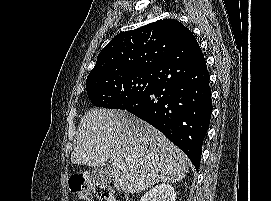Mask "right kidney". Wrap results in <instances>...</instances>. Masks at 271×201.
I'll use <instances>...</instances> for the list:
<instances>
[{
  "mask_svg": "<svg viewBox=\"0 0 271 201\" xmlns=\"http://www.w3.org/2000/svg\"><path fill=\"white\" fill-rule=\"evenodd\" d=\"M176 201V192L170 184H159L151 188L140 201Z\"/></svg>",
  "mask_w": 271,
  "mask_h": 201,
  "instance_id": "obj_1",
  "label": "right kidney"
}]
</instances>
